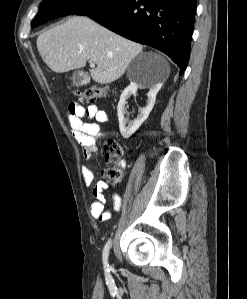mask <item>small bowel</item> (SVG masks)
<instances>
[{
  "instance_id": "1",
  "label": "small bowel",
  "mask_w": 247,
  "mask_h": 299,
  "mask_svg": "<svg viewBox=\"0 0 247 299\" xmlns=\"http://www.w3.org/2000/svg\"><path fill=\"white\" fill-rule=\"evenodd\" d=\"M67 118L74 139L83 148L84 158L91 160L98 150V140L102 136L101 124L109 121L107 112L95 104L84 107L79 103H71L68 106ZM82 177L85 185L90 186L94 182L95 175L89 166L83 165ZM107 189L108 184L106 182L98 181L92 190L94 201L90 206V212L100 222H106L111 218V212L105 210L104 192ZM113 203L114 210L119 211L122 200L117 193L113 195Z\"/></svg>"
}]
</instances>
